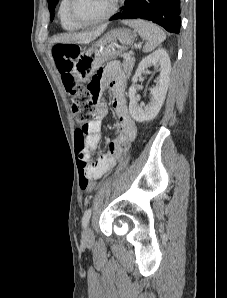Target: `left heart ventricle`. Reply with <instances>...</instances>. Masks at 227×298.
Returning a JSON list of instances; mask_svg holds the SVG:
<instances>
[{"instance_id":"b2bd125f","label":"left heart ventricle","mask_w":227,"mask_h":298,"mask_svg":"<svg viewBox=\"0 0 227 298\" xmlns=\"http://www.w3.org/2000/svg\"><path fill=\"white\" fill-rule=\"evenodd\" d=\"M112 0H74L73 14L80 20H94L104 15Z\"/></svg>"}]
</instances>
